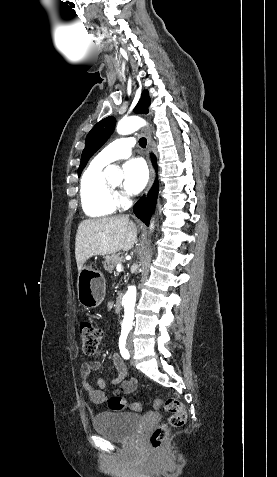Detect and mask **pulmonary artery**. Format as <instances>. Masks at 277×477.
Returning <instances> with one entry per match:
<instances>
[{
  "label": "pulmonary artery",
  "instance_id": "e3ab8cb5",
  "mask_svg": "<svg viewBox=\"0 0 277 477\" xmlns=\"http://www.w3.org/2000/svg\"><path fill=\"white\" fill-rule=\"evenodd\" d=\"M134 144L135 141L132 137L119 138L102 149L96 156V159L108 164L117 159L129 157Z\"/></svg>",
  "mask_w": 277,
  "mask_h": 477
}]
</instances>
